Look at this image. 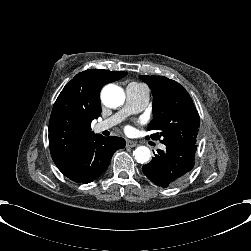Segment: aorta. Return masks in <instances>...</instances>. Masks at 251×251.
I'll return each instance as SVG.
<instances>
[{
	"label": "aorta",
	"mask_w": 251,
	"mask_h": 251,
	"mask_svg": "<svg viewBox=\"0 0 251 251\" xmlns=\"http://www.w3.org/2000/svg\"><path fill=\"white\" fill-rule=\"evenodd\" d=\"M101 100L106 106L115 108L124 104L125 93L121 87L108 84L101 91ZM133 156L138 163L145 164L151 158L150 149L146 146H139L133 151Z\"/></svg>",
	"instance_id": "1"
}]
</instances>
